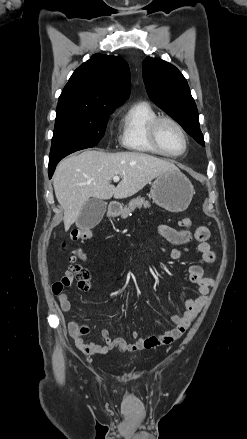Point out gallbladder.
Masks as SVG:
<instances>
[{
  "mask_svg": "<svg viewBox=\"0 0 247 439\" xmlns=\"http://www.w3.org/2000/svg\"><path fill=\"white\" fill-rule=\"evenodd\" d=\"M107 203L97 198H90L83 206L76 220V226L81 229L94 228L105 214Z\"/></svg>",
  "mask_w": 247,
  "mask_h": 439,
  "instance_id": "gallbladder-1",
  "label": "gallbladder"
}]
</instances>
